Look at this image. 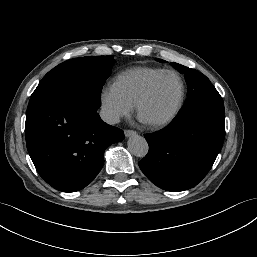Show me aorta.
Here are the masks:
<instances>
[{
    "mask_svg": "<svg viewBox=\"0 0 257 257\" xmlns=\"http://www.w3.org/2000/svg\"><path fill=\"white\" fill-rule=\"evenodd\" d=\"M130 152L137 157H144L148 153V143L145 138L134 134L128 140Z\"/></svg>",
    "mask_w": 257,
    "mask_h": 257,
    "instance_id": "1",
    "label": "aorta"
}]
</instances>
